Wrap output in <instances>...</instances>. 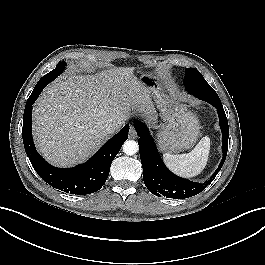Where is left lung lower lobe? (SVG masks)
<instances>
[{"label": "left lung lower lobe", "instance_id": "0a47b994", "mask_svg": "<svg viewBox=\"0 0 265 265\" xmlns=\"http://www.w3.org/2000/svg\"><path fill=\"white\" fill-rule=\"evenodd\" d=\"M186 90L200 100L210 103L217 109L222 131L223 158L218 168L207 182L197 183L180 178L171 173L164 165L154 140L150 136L146 126L139 121H135L134 127L139 136L138 144L143 167V180L148 190L159 197L164 196L173 199H184L200 193L210 181L214 180L226 159L229 126L219 96L208 83L190 84L186 87Z\"/></svg>", "mask_w": 265, "mask_h": 265}]
</instances>
